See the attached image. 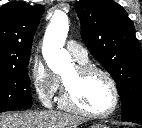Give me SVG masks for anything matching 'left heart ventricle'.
Here are the masks:
<instances>
[{
    "label": "left heart ventricle",
    "mask_w": 142,
    "mask_h": 128,
    "mask_svg": "<svg viewBox=\"0 0 142 128\" xmlns=\"http://www.w3.org/2000/svg\"><path fill=\"white\" fill-rule=\"evenodd\" d=\"M63 80L71 90L77 104L83 109L103 113L113 106V91L104 76L91 74L81 77L76 68H72L63 75Z\"/></svg>",
    "instance_id": "obj_1"
}]
</instances>
